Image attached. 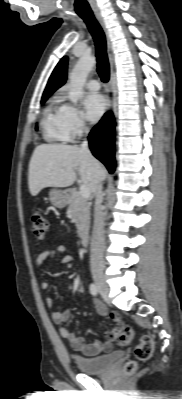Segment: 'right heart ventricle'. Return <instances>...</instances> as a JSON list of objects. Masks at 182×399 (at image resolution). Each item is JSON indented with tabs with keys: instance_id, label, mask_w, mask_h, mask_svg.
I'll return each mask as SVG.
<instances>
[{
	"instance_id": "right-heart-ventricle-1",
	"label": "right heart ventricle",
	"mask_w": 182,
	"mask_h": 399,
	"mask_svg": "<svg viewBox=\"0 0 182 399\" xmlns=\"http://www.w3.org/2000/svg\"><path fill=\"white\" fill-rule=\"evenodd\" d=\"M42 128L47 141H68L70 139L65 125L64 105L55 102L45 108Z\"/></svg>"
}]
</instances>
